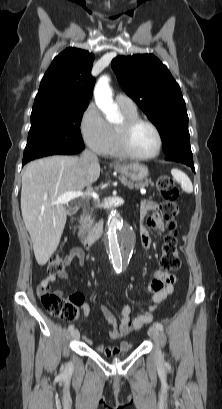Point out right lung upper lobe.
Masks as SVG:
<instances>
[{"mask_svg":"<svg viewBox=\"0 0 222 409\" xmlns=\"http://www.w3.org/2000/svg\"><path fill=\"white\" fill-rule=\"evenodd\" d=\"M95 56L67 48L56 56L41 80L33 109L60 104H89L95 79L91 76Z\"/></svg>","mask_w":222,"mask_h":409,"instance_id":"cb5924a9","label":"right lung upper lobe"}]
</instances>
